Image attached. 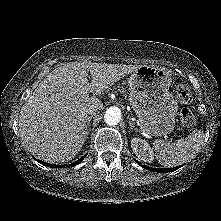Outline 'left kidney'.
I'll return each mask as SVG.
<instances>
[{"instance_id":"obj_1","label":"left kidney","mask_w":221,"mask_h":221,"mask_svg":"<svg viewBox=\"0 0 221 221\" xmlns=\"http://www.w3.org/2000/svg\"><path fill=\"white\" fill-rule=\"evenodd\" d=\"M131 147L134 154L144 162L151 163L154 160V153L150 145L142 139L133 138L131 140Z\"/></svg>"}]
</instances>
